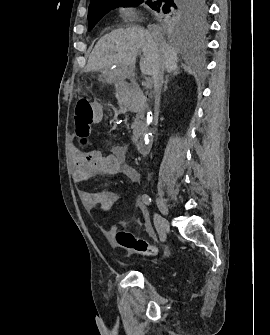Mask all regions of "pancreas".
I'll use <instances>...</instances> for the list:
<instances>
[{
  "instance_id": "cf45deb5",
  "label": "pancreas",
  "mask_w": 270,
  "mask_h": 335,
  "mask_svg": "<svg viewBox=\"0 0 270 335\" xmlns=\"http://www.w3.org/2000/svg\"><path fill=\"white\" fill-rule=\"evenodd\" d=\"M121 100V98H119ZM133 128V136H132V142H137L139 140L140 136H142L143 132L146 130V122H139L138 116H136V120L134 124H132Z\"/></svg>"
}]
</instances>
